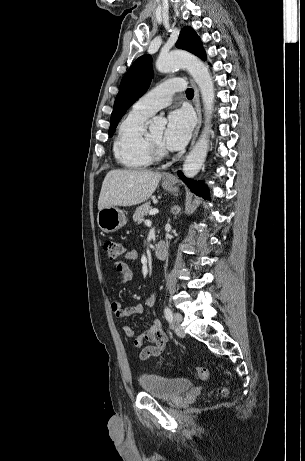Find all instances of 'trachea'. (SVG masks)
<instances>
[{
    "mask_svg": "<svg viewBox=\"0 0 305 461\" xmlns=\"http://www.w3.org/2000/svg\"><path fill=\"white\" fill-rule=\"evenodd\" d=\"M186 96L188 98H192L194 96V90L192 88H189L186 90Z\"/></svg>",
    "mask_w": 305,
    "mask_h": 461,
    "instance_id": "1",
    "label": "trachea"
}]
</instances>
